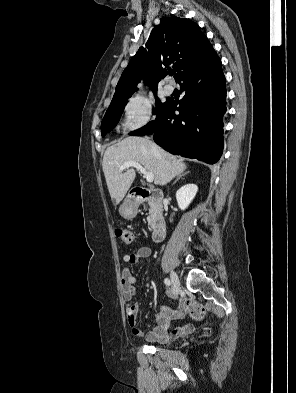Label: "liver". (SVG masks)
Listing matches in <instances>:
<instances>
[{
    "instance_id": "6515ba94",
    "label": "liver",
    "mask_w": 296,
    "mask_h": 393,
    "mask_svg": "<svg viewBox=\"0 0 296 393\" xmlns=\"http://www.w3.org/2000/svg\"><path fill=\"white\" fill-rule=\"evenodd\" d=\"M128 161H136L148 172L153 173L154 183L161 186L166 185L175 176L182 175L186 169V164L182 160L149 139L127 137L117 145L108 147L102 162L107 187L116 204L125 197L136 176L133 168H128L125 173L120 169Z\"/></svg>"
}]
</instances>
